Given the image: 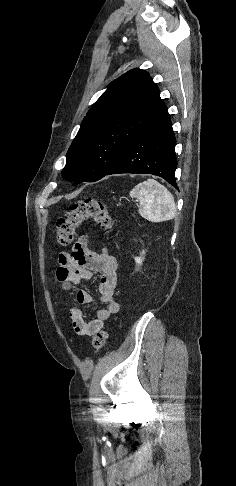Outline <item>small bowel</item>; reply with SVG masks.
<instances>
[{"mask_svg": "<svg viewBox=\"0 0 236 486\" xmlns=\"http://www.w3.org/2000/svg\"><path fill=\"white\" fill-rule=\"evenodd\" d=\"M57 279L65 291L71 292L74 286L92 278L95 272L100 273L98 286L99 300L105 305L96 311L90 321L83 318L80 306L93 301V296L83 289L69 295L71 305L69 317L74 331L81 336H92L100 331L105 321L118 312L119 304L114 298L117 284V261L104 247L100 253L90 250L84 239L78 241L71 253H61L58 257Z\"/></svg>", "mask_w": 236, "mask_h": 486, "instance_id": "c3829d8e", "label": "small bowel"}]
</instances>
